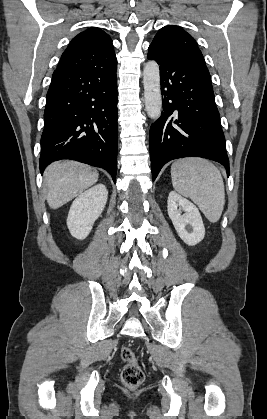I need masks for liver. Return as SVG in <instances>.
<instances>
[{"mask_svg":"<svg viewBox=\"0 0 267 419\" xmlns=\"http://www.w3.org/2000/svg\"><path fill=\"white\" fill-rule=\"evenodd\" d=\"M99 174L88 165L64 160L52 163L44 172L48 205L57 209L95 184Z\"/></svg>","mask_w":267,"mask_h":419,"instance_id":"liver-1","label":"liver"}]
</instances>
